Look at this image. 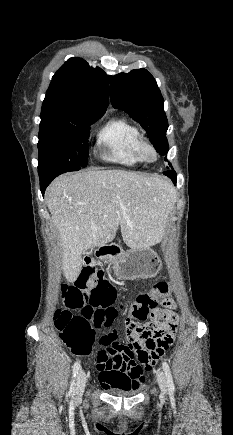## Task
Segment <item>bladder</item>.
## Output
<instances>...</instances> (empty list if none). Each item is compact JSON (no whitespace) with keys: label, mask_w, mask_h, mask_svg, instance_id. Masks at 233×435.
Here are the masks:
<instances>
[{"label":"bladder","mask_w":233,"mask_h":435,"mask_svg":"<svg viewBox=\"0 0 233 435\" xmlns=\"http://www.w3.org/2000/svg\"><path fill=\"white\" fill-rule=\"evenodd\" d=\"M143 388V384L142 383H134L132 385V389L128 390V391H120V392H112V391H108L109 394H114L117 396H128V397H133L136 394H138Z\"/></svg>","instance_id":"bladder-1"}]
</instances>
